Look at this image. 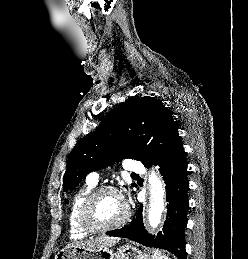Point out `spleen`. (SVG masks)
Listing matches in <instances>:
<instances>
[{"instance_id":"3e777b00","label":"spleen","mask_w":248,"mask_h":259,"mask_svg":"<svg viewBox=\"0 0 248 259\" xmlns=\"http://www.w3.org/2000/svg\"><path fill=\"white\" fill-rule=\"evenodd\" d=\"M154 259H171L166 254L162 253L159 250L154 251Z\"/></svg>"}]
</instances>
